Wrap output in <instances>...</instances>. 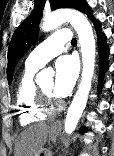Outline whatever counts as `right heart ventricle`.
Here are the masks:
<instances>
[{
    "instance_id": "obj_1",
    "label": "right heart ventricle",
    "mask_w": 114,
    "mask_h": 156,
    "mask_svg": "<svg viewBox=\"0 0 114 156\" xmlns=\"http://www.w3.org/2000/svg\"><path fill=\"white\" fill-rule=\"evenodd\" d=\"M38 69L39 67L25 63L24 70L17 83L16 109L22 126L41 121L46 116L39 107L37 85L34 82V75Z\"/></svg>"
}]
</instances>
